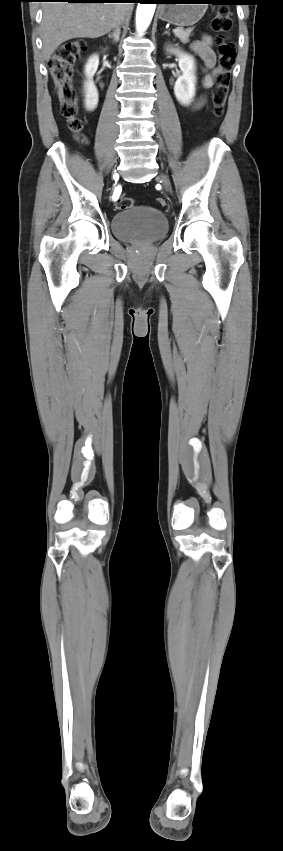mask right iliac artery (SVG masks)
Wrapping results in <instances>:
<instances>
[{
	"label": "right iliac artery",
	"mask_w": 283,
	"mask_h": 851,
	"mask_svg": "<svg viewBox=\"0 0 283 851\" xmlns=\"http://www.w3.org/2000/svg\"><path fill=\"white\" fill-rule=\"evenodd\" d=\"M121 186L119 185L117 190L113 194V200H115L118 196H122L123 192L121 191Z\"/></svg>",
	"instance_id": "1"
}]
</instances>
